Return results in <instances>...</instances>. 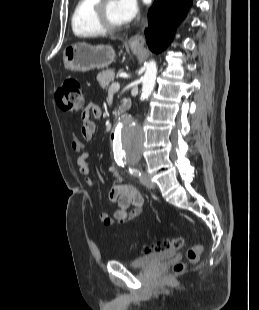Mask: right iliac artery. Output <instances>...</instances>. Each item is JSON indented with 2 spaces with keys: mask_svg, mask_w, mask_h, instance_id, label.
<instances>
[{
  "mask_svg": "<svg viewBox=\"0 0 259 310\" xmlns=\"http://www.w3.org/2000/svg\"><path fill=\"white\" fill-rule=\"evenodd\" d=\"M116 162H117V164H118V165L123 166V162H122V160H119V161H116Z\"/></svg>",
  "mask_w": 259,
  "mask_h": 310,
  "instance_id": "obj_1",
  "label": "right iliac artery"
}]
</instances>
